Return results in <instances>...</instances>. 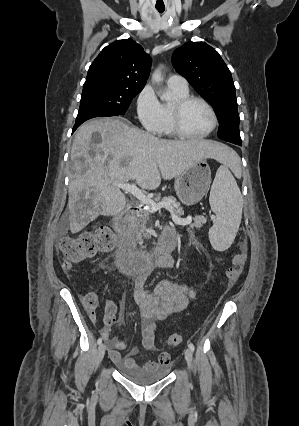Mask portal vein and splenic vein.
<instances>
[{
	"label": "portal vein and splenic vein",
	"instance_id": "portal-vein-and-splenic-vein-1",
	"mask_svg": "<svg viewBox=\"0 0 299 426\" xmlns=\"http://www.w3.org/2000/svg\"><path fill=\"white\" fill-rule=\"evenodd\" d=\"M115 185L123 191L131 193L143 205H145L146 209L150 212H156L158 210H161L162 208L167 209L171 212L172 221L177 225H187L192 222V217L190 215L187 216V218L185 219L179 218L173 213V208L170 202L162 201L159 203H155L151 198L147 197L146 194L142 190H140L135 184L115 183Z\"/></svg>",
	"mask_w": 299,
	"mask_h": 426
}]
</instances>
